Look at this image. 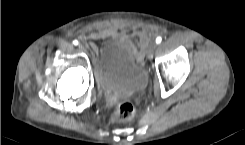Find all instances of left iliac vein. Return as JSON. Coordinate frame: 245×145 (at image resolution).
<instances>
[{
	"instance_id": "4c4485c4",
	"label": "left iliac vein",
	"mask_w": 245,
	"mask_h": 145,
	"mask_svg": "<svg viewBox=\"0 0 245 145\" xmlns=\"http://www.w3.org/2000/svg\"><path fill=\"white\" fill-rule=\"evenodd\" d=\"M155 49H156V44L155 43H151L146 51V54H147V58L149 60H151L154 56V52H155Z\"/></svg>"
}]
</instances>
